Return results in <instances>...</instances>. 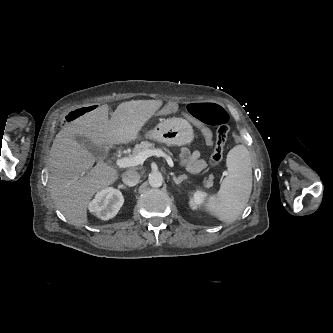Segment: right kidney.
<instances>
[{
	"mask_svg": "<svg viewBox=\"0 0 333 333\" xmlns=\"http://www.w3.org/2000/svg\"><path fill=\"white\" fill-rule=\"evenodd\" d=\"M123 203L122 193L117 189L108 187L95 195V198L89 204V210L98 218L108 220L118 213Z\"/></svg>",
	"mask_w": 333,
	"mask_h": 333,
	"instance_id": "ca27d5eb",
	"label": "right kidney"
}]
</instances>
